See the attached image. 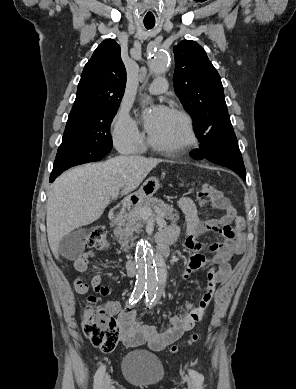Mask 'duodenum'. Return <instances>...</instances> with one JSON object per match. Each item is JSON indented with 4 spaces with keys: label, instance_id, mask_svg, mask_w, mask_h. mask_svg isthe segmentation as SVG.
I'll return each mask as SVG.
<instances>
[{
    "label": "duodenum",
    "instance_id": "duodenum-1",
    "mask_svg": "<svg viewBox=\"0 0 296 389\" xmlns=\"http://www.w3.org/2000/svg\"><path fill=\"white\" fill-rule=\"evenodd\" d=\"M127 203L119 205L113 208L109 213V219L112 225H116L121 219ZM173 242L172 239L167 237H157L158 243V254L161 258L167 257L170 251V244ZM126 271L129 277H134L137 273L135 261H129L126 264Z\"/></svg>",
    "mask_w": 296,
    "mask_h": 389
}]
</instances>
